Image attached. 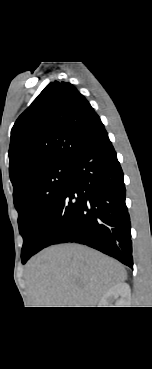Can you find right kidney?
I'll return each mask as SVG.
<instances>
[{
	"mask_svg": "<svg viewBox=\"0 0 152 369\" xmlns=\"http://www.w3.org/2000/svg\"><path fill=\"white\" fill-rule=\"evenodd\" d=\"M130 297H131L130 286L127 283H119L111 287L102 296L98 306L99 307H129Z\"/></svg>",
	"mask_w": 152,
	"mask_h": 369,
	"instance_id": "ca27d5eb",
	"label": "right kidney"
}]
</instances>
